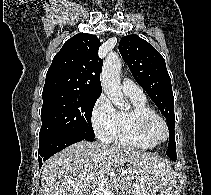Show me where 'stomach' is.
Instances as JSON below:
<instances>
[{
  "label": "stomach",
  "instance_id": "obj_1",
  "mask_svg": "<svg viewBox=\"0 0 211 195\" xmlns=\"http://www.w3.org/2000/svg\"><path fill=\"white\" fill-rule=\"evenodd\" d=\"M174 183V179L171 180L170 184L163 188L159 195H174L172 188L170 187ZM129 195H139L136 193H130Z\"/></svg>",
  "mask_w": 211,
  "mask_h": 195
}]
</instances>
